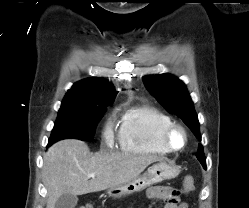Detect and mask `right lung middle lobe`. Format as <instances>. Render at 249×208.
<instances>
[{"mask_svg":"<svg viewBox=\"0 0 249 208\" xmlns=\"http://www.w3.org/2000/svg\"><path fill=\"white\" fill-rule=\"evenodd\" d=\"M104 111L105 107L61 106L47 147L67 138L92 140Z\"/></svg>","mask_w":249,"mask_h":208,"instance_id":"1","label":"right lung middle lobe"}]
</instances>
